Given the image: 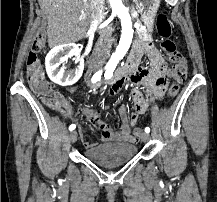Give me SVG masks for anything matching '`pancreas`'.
I'll return each mask as SVG.
<instances>
[{
	"label": "pancreas",
	"mask_w": 217,
	"mask_h": 202,
	"mask_svg": "<svg viewBox=\"0 0 217 202\" xmlns=\"http://www.w3.org/2000/svg\"><path fill=\"white\" fill-rule=\"evenodd\" d=\"M138 34L142 35L141 36L142 41H152L153 40L152 34L147 33L146 30H139Z\"/></svg>",
	"instance_id": "1"
}]
</instances>
